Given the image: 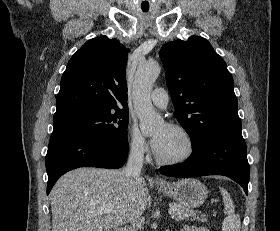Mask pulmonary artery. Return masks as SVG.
<instances>
[{
	"mask_svg": "<svg viewBox=\"0 0 280 231\" xmlns=\"http://www.w3.org/2000/svg\"><path fill=\"white\" fill-rule=\"evenodd\" d=\"M150 100L156 107L165 109L169 103V96L164 88H156L152 92Z\"/></svg>",
	"mask_w": 280,
	"mask_h": 231,
	"instance_id": "1",
	"label": "pulmonary artery"
}]
</instances>
